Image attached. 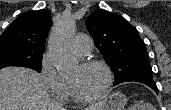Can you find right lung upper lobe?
<instances>
[{
  "mask_svg": "<svg viewBox=\"0 0 171 110\" xmlns=\"http://www.w3.org/2000/svg\"><path fill=\"white\" fill-rule=\"evenodd\" d=\"M50 27L49 10L25 12L7 27L0 36V44L11 43L32 51L44 52L45 40Z\"/></svg>",
  "mask_w": 171,
  "mask_h": 110,
  "instance_id": "1",
  "label": "right lung upper lobe"
}]
</instances>
